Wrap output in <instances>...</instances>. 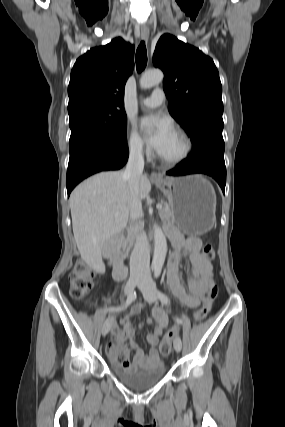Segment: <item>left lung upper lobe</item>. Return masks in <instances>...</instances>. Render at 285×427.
Wrapping results in <instances>:
<instances>
[{
    "label": "left lung upper lobe",
    "mask_w": 285,
    "mask_h": 427,
    "mask_svg": "<svg viewBox=\"0 0 285 427\" xmlns=\"http://www.w3.org/2000/svg\"><path fill=\"white\" fill-rule=\"evenodd\" d=\"M153 64L164 71L168 109L195 144L222 137V86L213 60L199 49L164 34L156 44Z\"/></svg>",
    "instance_id": "1"
}]
</instances>
